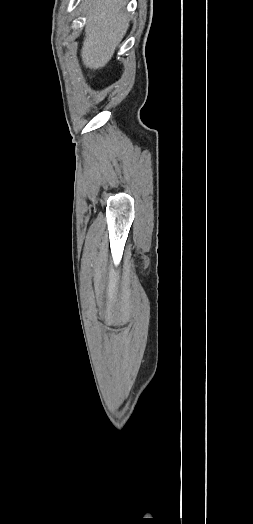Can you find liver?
<instances>
[{
	"label": "liver",
	"mask_w": 253,
	"mask_h": 524,
	"mask_svg": "<svg viewBox=\"0 0 253 524\" xmlns=\"http://www.w3.org/2000/svg\"><path fill=\"white\" fill-rule=\"evenodd\" d=\"M126 3L127 0L85 1L87 22L81 57L86 68L100 69L111 60L129 27Z\"/></svg>",
	"instance_id": "obj_1"
}]
</instances>
